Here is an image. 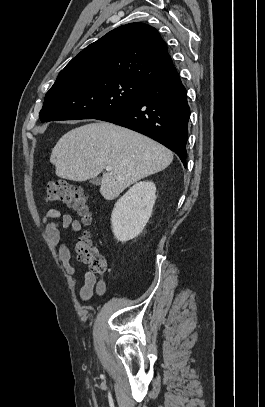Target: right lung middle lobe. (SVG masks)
Returning a JSON list of instances; mask_svg holds the SVG:
<instances>
[{
    "mask_svg": "<svg viewBox=\"0 0 265 407\" xmlns=\"http://www.w3.org/2000/svg\"><path fill=\"white\" fill-rule=\"evenodd\" d=\"M149 88L133 80L100 75L64 79L47 92L39 117L42 123L96 119L136 103Z\"/></svg>",
    "mask_w": 265,
    "mask_h": 407,
    "instance_id": "obj_1",
    "label": "right lung middle lobe"
}]
</instances>
